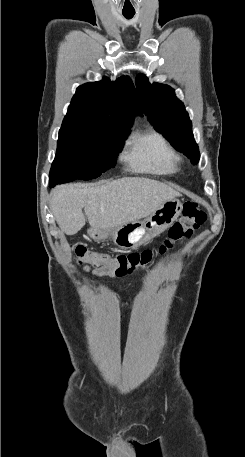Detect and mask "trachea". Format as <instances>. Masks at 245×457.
I'll list each match as a JSON object with an SVG mask.
<instances>
[{"mask_svg":"<svg viewBox=\"0 0 245 457\" xmlns=\"http://www.w3.org/2000/svg\"><path fill=\"white\" fill-rule=\"evenodd\" d=\"M134 13H123V16L126 18V19H131L134 17Z\"/></svg>","mask_w":245,"mask_h":457,"instance_id":"1","label":"trachea"}]
</instances>
